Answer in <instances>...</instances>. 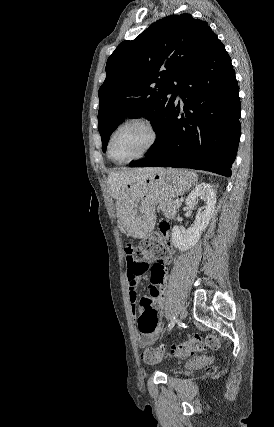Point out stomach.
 I'll return each instance as SVG.
<instances>
[{
	"instance_id": "1",
	"label": "stomach",
	"mask_w": 274,
	"mask_h": 427,
	"mask_svg": "<svg viewBox=\"0 0 274 427\" xmlns=\"http://www.w3.org/2000/svg\"><path fill=\"white\" fill-rule=\"evenodd\" d=\"M197 182L195 172L162 168L156 174L136 180L130 188L131 194L126 202H117V215L127 235L146 237L153 231L156 223L155 208L162 200H171L185 194Z\"/></svg>"
}]
</instances>
